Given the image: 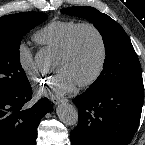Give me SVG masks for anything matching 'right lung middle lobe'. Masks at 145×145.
Listing matches in <instances>:
<instances>
[{"label":"right lung middle lobe","mask_w":145,"mask_h":145,"mask_svg":"<svg viewBox=\"0 0 145 145\" xmlns=\"http://www.w3.org/2000/svg\"><path fill=\"white\" fill-rule=\"evenodd\" d=\"M46 19L47 15L41 12H22L0 18V93L17 92L29 84L20 64V42Z\"/></svg>","instance_id":"right-lung-middle-lobe-1"}]
</instances>
